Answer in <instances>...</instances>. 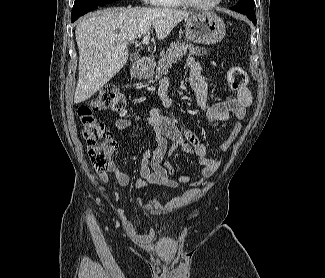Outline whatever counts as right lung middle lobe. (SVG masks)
<instances>
[{
    "label": "right lung middle lobe",
    "mask_w": 325,
    "mask_h": 278,
    "mask_svg": "<svg viewBox=\"0 0 325 278\" xmlns=\"http://www.w3.org/2000/svg\"><path fill=\"white\" fill-rule=\"evenodd\" d=\"M79 1H82L84 2L85 6H88L90 4H93V3H97L101 6L107 4V3H111V2H114L116 0H75V3L78 4Z\"/></svg>",
    "instance_id": "obj_1"
}]
</instances>
